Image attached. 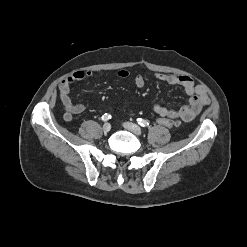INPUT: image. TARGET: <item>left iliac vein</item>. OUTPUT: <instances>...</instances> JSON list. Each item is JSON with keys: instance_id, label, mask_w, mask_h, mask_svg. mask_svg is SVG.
I'll use <instances>...</instances> for the list:
<instances>
[{"instance_id": "4c4485c4", "label": "left iliac vein", "mask_w": 247, "mask_h": 247, "mask_svg": "<svg viewBox=\"0 0 247 247\" xmlns=\"http://www.w3.org/2000/svg\"><path fill=\"white\" fill-rule=\"evenodd\" d=\"M123 126H124V128H126L127 130H129L130 132L134 133L137 136L142 134V129L134 123L125 122L123 124Z\"/></svg>"}]
</instances>
